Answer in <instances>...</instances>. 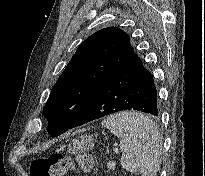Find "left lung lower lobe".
I'll return each mask as SVG.
<instances>
[{
    "mask_svg": "<svg viewBox=\"0 0 205 176\" xmlns=\"http://www.w3.org/2000/svg\"><path fill=\"white\" fill-rule=\"evenodd\" d=\"M122 110L158 116L153 76L136 54L97 89L94 99L80 111L69 129Z\"/></svg>",
    "mask_w": 205,
    "mask_h": 176,
    "instance_id": "left-lung-lower-lobe-1",
    "label": "left lung lower lobe"
}]
</instances>
